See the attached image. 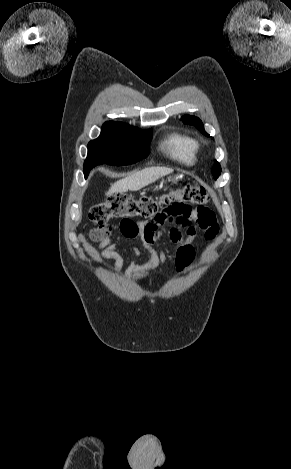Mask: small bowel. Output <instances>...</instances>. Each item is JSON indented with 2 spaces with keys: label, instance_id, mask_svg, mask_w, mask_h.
Here are the masks:
<instances>
[{
  "label": "small bowel",
  "instance_id": "small-bowel-1",
  "mask_svg": "<svg viewBox=\"0 0 291 469\" xmlns=\"http://www.w3.org/2000/svg\"><path fill=\"white\" fill-rule=\"evenodd\" d=\"M169 228L165 230V227ZM197 227L206 231V239L212 240L218 233V225L212 211H207L202 216L197 209H190L188 212L164 217L153 218L146 221L134 222L131 220L121 221L118 225H110L107 233H102L98 229L91 232V239L97 243V250L101 257L113 260L115 271H120L124 265L121 250L112 238V232L118 229L121 237L127 240H139L141 247L149 254L150 260L144 264H139L141 255L140 248L133 246V260L129 264L126 276L152 269L164 261L163 256L158 254L154 245L166 235L170 242L177 245L176 270L178 273L185 272L191 265L195 251L192 242L196 236Z\"/></svg>",
  "mask_w": 291,
  "mask_h": 469
}]
</instances>
